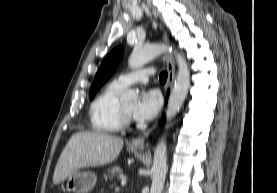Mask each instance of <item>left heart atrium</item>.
Here are the masks:
<instances>
[{
    "mask_svg": "<svg viewBox=\"0 0 277 193\" xmlns=\"http://www.w3.org/2000/svg\"><path fill=\"white\" fill-rule=\"evenodd\" d=\"M161 106L160 94L155 90H146L140 94L139 101L133 110V117L140 122L152 120Z\"/></svg>",
    "mask_w": 277,
    "mask_h": 193,
    "instance_id": "obj_1",
    "label": "left heart atrium"
}]
</instances>
